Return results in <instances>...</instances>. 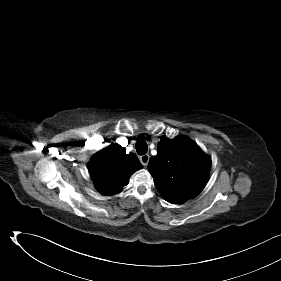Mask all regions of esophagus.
I'll return each mask as SVG.
<instances>
[{
  "mask_svg": "<svg viewBox=\"0 0 281 281\" xmlns=\"http://www.w3.org/2000/svg\"><path fill=\"white\" fill-rule=\"evenodd\" d=\"M139 159L143 166H147V164L150 160V156L148 154H144V155L140 156Z\"/></svg>",
  "mask_w": 281,
  "mask_h": 281,
  "instance_id": "obj_1",
  "label": "esophagus"
}]
</instances>
